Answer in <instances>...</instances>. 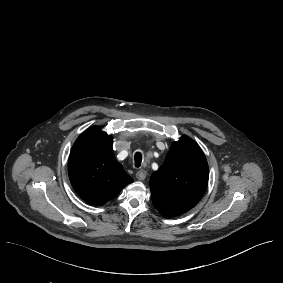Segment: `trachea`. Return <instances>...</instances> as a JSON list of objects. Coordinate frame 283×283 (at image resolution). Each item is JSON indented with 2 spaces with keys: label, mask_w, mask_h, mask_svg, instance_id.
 Here are the masks:
<instances>
[{
  "label": "trachea",
  "mask_w": 283,
  "mask_h": 283,
  "mask_svg": "<svg viewBox=\"0 0 283 283\" xmlns=\"http://www.w3.org/2000/svg\"><path fill=\"white\" fill-rule=\"evenodd\" d=\"M142 163V153L141 152H136L134 155V165L135 167H140Z\"/></svg>",
  "instance_id": "3493384b"
}]
</instances>
